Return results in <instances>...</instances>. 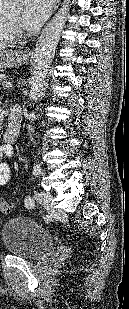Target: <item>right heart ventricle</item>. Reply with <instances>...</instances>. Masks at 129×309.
Listing matches in <instances>:
<instances>
[{"mask_svg": "<svg viewBox=\"0 0 129 309\" xmlns=\"http://www.w3.org/2000/svg\"><path fill=\"white\" fill-rule=\"evenodd\" d=\"M1 1L2 0H0V45H4L11 43L14 40V36L11 34L5 23L4 13L1 8Z\"/></svg>", "mask_w": 129, "mask_h": 309, "instance_id": "1", "label": "right heart ventricle"}]
</instances>
